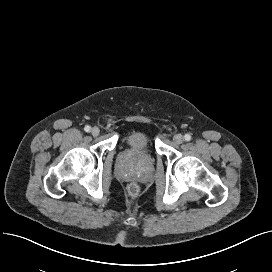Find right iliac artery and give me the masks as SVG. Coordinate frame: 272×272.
Wrapping results in <instances>:
<instances>
[{"mask_svg": "<svg viewBox=\"0 0 272 272\" xmlns=\"http://www.w3.org/2000/svg\"><path fill=\"white\" fill-rule=\"evenodd\" d=\"M84 130H85L86 132H90L91 127L87 125V126H85Z\"/></svg>", "mask_w": 272, "mask_h": 272, "instance_id": "obj_1", "label": "right iliac artery"}]
</instances>
